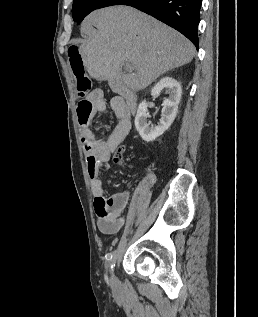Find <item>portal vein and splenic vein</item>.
<instances>
[{"label": "portal vein and splenic vein", "mask_w": 258, "mask_h": 317, "mask_svg": "<svg viewBox=\"0 0 258 317\" xmlns=\"http://www.w3.org/2000/svg\"><path fill=\"white\" fill-rule=\"evenodd\" d=\"M126 68H128V70H130V68H131L130 62H126Z\"/></svg>", "instance_id": "obj_1"}]
</instances>
